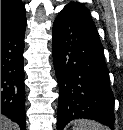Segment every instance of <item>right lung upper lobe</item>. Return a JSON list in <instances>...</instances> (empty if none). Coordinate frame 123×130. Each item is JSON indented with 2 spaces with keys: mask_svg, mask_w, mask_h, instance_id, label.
<instances>
[{
  "mask_svg": "<svg viewBox=\"0 0 123 130\" xmlns=\"http://www.w3.org/2000/svg\"><path fill=\"white\" fill-rule=\"evenodd\" d=\"M26 21V10L21 0H1V26H17Z\"/></svg>",
  "mask_w": 123,
  "mask_h": 130,
  "instance_id": "cb5924a9",
  "label": "right lung upper lobe"
}]
</instances>
